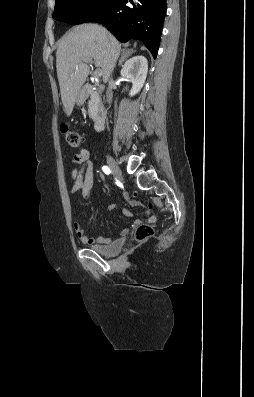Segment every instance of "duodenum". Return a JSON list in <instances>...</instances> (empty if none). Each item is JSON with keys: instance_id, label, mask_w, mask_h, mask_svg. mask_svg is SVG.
Here are the masks:
<instances>
[{"instance_id": "410a0bca", "label": "duodenum", "mask_w": 254, "mask_h": 397, "mask_svg": "<svg viewBox=\"0 0 254 397\" xmlns=\"http://www.w3.org/2000/svg\"><path fill=\"white\" fill-rule=\"evenodd\" d=\"M88 92H93V88L91 86H87ZM107 112L104 106H100L95 118H94V129L96 131H101L106 122Z\"/></svg>"}]
</instances>
